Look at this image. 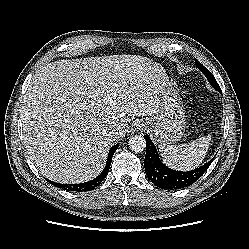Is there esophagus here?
I'll return each instance as SVG.
<instances>
[{
	"mask_svg": "<svg viewBox=\"0 0 249 249\" xmlns=\"http://www.w3.org/2000/svg\"><path fill=\"white\" fill-rule=\"evenodd\" d=\"M144 128V125L143 124H141L140 126H139V128L138 129H143Z\"/></svg>",
	"mask_w": 249,
	"mask_h": 249,
	"instance_id": "obj_1",
	"label": "esophagus"
}]
</instances>
